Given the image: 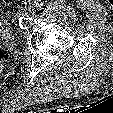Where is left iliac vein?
Returning <instances> with one entry per match:
<instances>
[{"mask_svg":"<svg viewBox=\"0 0 113 113\" xmlns=\"http://www.w3.org/2000/svg\"><path fill=\"white\" fill-rule=\"evenodd\" d=\"M35 11V4H29L28 6V12L29 13H34Z\"/></svg>","mask_w":113,"mask_h":113,"instance_id":"left-iliac-vein-1","label":"left iliac vein"}]
</instances>
